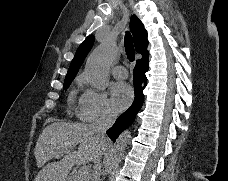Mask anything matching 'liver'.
<instances>
[{
	"label": "liver",
	"mask_w": 228,
	"mask_h": 181,
	"mask_svg": "<svg viewBox=\"0 0 228 181\" xmlns=\"http://www.w3.org/2000/svg\"><path fill=\"white\" fill-rule=\"evenodd\" d=\"M109 139H101L92 125L84 123H54L43 129L36 143L34 157L40 169L34 181H67L74 165L92 163L108 147ZM79 145L78 151H71ZM63 157V159H60ZM51 159H60L48 163Z\"/></svg>",
	"instance_id": "6515ba94"
}]
</instances>
